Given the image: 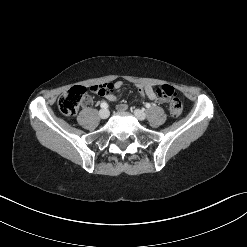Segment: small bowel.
<instances>
[{"mask_svg":"<svg viewBox=\"0 0 247 247\" xmlns=\"http://www.w3.org/2000/svg\"><path fill=\"white\" fill-rule=\"evenodd\" d=\"M146 85H149V84H146ZM95 86H97V85H94L92 87H95ZM122 88H123V82L118 80L112 84H109L107 87L103 88L101 91H93V92L99 94L100 96L105 97L109 101H116V100H118V98L121 95ZM153 101H155V100H153ZM84 104H85V106H89L91 104V99L87 97L84 101ZM118 109L119 110H125L126 105L120 104L118 106Z\"/></svg>","mask_w":247,"mask_h":247,"instance_id":"c3829d8e","label":"small bowel"}]
</instances>
